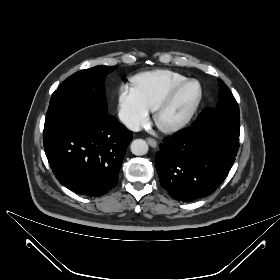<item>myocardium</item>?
I'll use <instances>...</instances> for the list:
<instances>
[{
	"label": "myocardium",
	"mask_w": 280,
	"mask_h": 280,
	"mask_svg": "<svg viewBox=\"0 0 280 280\" xmlns=\"http://www.w3.org/2000/svg\"><path fill=\"white\" fill-rule=\"evenodd\" d=\"M190 84H196L198 86V94L193 102V104L190 106L188 111L185 115H183L181 118L176 120L173 123L163 125L159 121V117L161 113L170 106V104L173 102L177 94L186 86ZM203 97V88L201 83L196 79H186L183 82H180L178 84L173 85L166 94L161 98V100L156 104V106L153 109V120L155 125L158 127V129L165 133H172L176 132L183 127H185L191 119L194 117L195 113L197 112L199 105L201 103Z\"/></svg>",
	"instance_id": "myocardium-1"
}]
</instances>
